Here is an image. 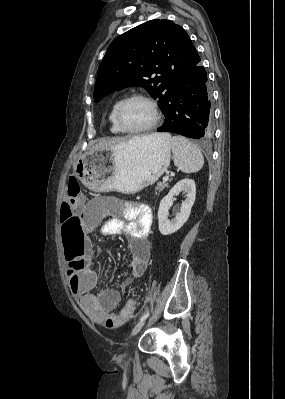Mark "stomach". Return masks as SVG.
<instances>
[{
    "mask_svg": "<svg viewBox=\"0 0 285 399\" xmlns=\"http://www.w3.org/2000/svg\"><path fill=\"white\" fill-rule=\"evenodd\" d=\"M171 137L127 141L114 149H96L72 165L73 174L95 192L136 193L154 184L167 170L171 159Z\"/></svg>",
    "mask_w": 285,
    "mask_h": 399,
    "instance_id": "obj_1",
    "label": "stomach"
}]
</instances>
